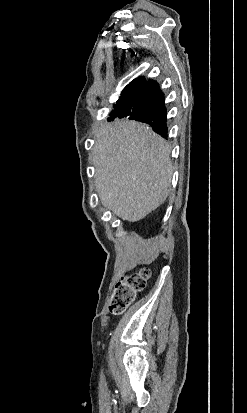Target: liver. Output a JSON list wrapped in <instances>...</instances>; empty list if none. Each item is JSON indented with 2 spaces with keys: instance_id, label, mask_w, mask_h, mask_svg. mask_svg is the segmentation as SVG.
Masks as SVG:
<instances>
[{
  "instance_id": "1",
  "label": "liver",
  "mask_w": 247,
  "mask_h": 413,
  "mask_svg": "<svg viewBox=\"0 0 247 413\" xmlns=\"http://www.w3.org/2000/svg\"><path fill=\"white\" fill-rule=\"evenodd\" d=\"M170 146L147 124L115 120L96 134L92 160L103 207L124 221H140L170 192Z\"/></svg>"
}]
</instances>
